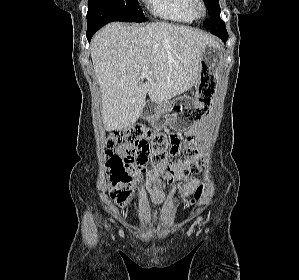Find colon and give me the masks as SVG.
Masks as SVG:
<instances>
[{
	"label": "colon",
	"mask_w": 299,
	"mask_h": 280,
	"mask_svg": "<svg viewBox=\"0 0 299 280\" xmlns=\"http://www.w3.org/2000/svg\"><path fill=\"white\" fill-rule=\"evenodd\" d=\"M127 146V155L115 152ZM106 166L111 198L121 207H129L137 194L136 180L147 166L158 168L163 178L173 181L192 171L199 159V150L194 137L184 142V161L174 163L180 147L179 134L174 130L160 131L141 124L117 129L107 139ZM203 186L196 190L194 200L203 195Z\"/></svg>",
	"instance_id": "5ec220e1"
}]
</instances>
